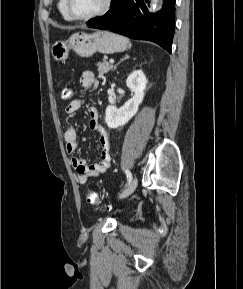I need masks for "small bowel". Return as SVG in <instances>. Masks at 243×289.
<instances>
[{"label": "small bowel", "instance_id": "c3829d8e", "mask_svg": "<svg viewBox=\"0 0 243 289\" xmlns=\"http://www.w3.org/2000/svg\"><path fill=\"white\" fill-rule=\"evenodd\" d=\"M81 85L89 91H95L98 87V80L92 72L86 71L80 79ZM84 99L79 98L71 101L65 108L68 115L75 114L83 105ZM88 114L90 117V129L99 135L100 142V160L93 164H87L81 157H73L71 164L77 173V180L80 184H86L90 178H95L103 174L110 166V143L105 128L99 121V113L96 107H89ZM64 140L68 154H74L78 149L77 131L74 126H70L65 134Z\"/></svg>", "mask_w": 243, "mask_h": 289}]
</instances>
